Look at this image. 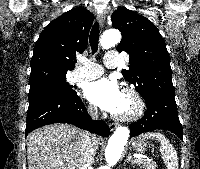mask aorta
<instances>
[{"mask_svg": "<svg viewBox=\"0 0 200 169\" xmlns=\"http://www.w3.org/2000/svg\"><path fill=\"white\" fill-rule=\"evenodd\" d=\"M121 40V35L117 30H109L103 33L100 44L103 48L108 49L117 45ZM130 136L128 127L119 126L112 134L108 141V145L105 150L106 165L101 169H110L121 158L124 146Z\"/></svg>", "mask_w": 200, "mask_h": 169, "instance_id": "aorta-1", "label": "aorta"}]
</instances>
